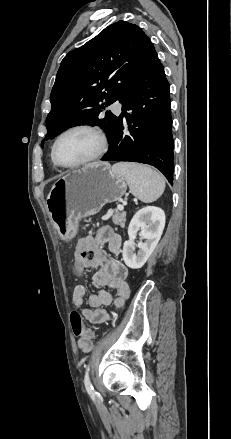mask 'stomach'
<instances>
[{"label": "stomach", "instance_id": "0dacf381", "mask_svg": "<svg viewBox=\"0 0 231 439\" xmlns=\"http://www.w3.org/2000/svg\"><path fill=\"white\" fill-rule=\"evenodd\" d=\"M126 190L124 177L104 162L92 163L57 180L46 204L59 237L73 238L81 219L97 214L107 203L118 201Z\"/></svg>", "mask_w": 231, "mask_h": 439}]
</instances>
